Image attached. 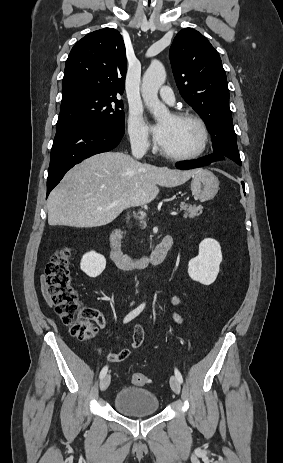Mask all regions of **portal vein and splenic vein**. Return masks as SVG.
Returning a JSON list of instances; mask_svg holds the SVG:
<instances>
[{
  "instance_id": "1",
  "label": "portal vein and splenic vein",
  "mask_w": 283,
  "mask_h": 463,
  "mask_svg": "<svg viewBox=\"0 0 283 463\" xmlns=\"http://www.w3.org/2000/svg\"><path fill=\"white\" fill-rule=\"evenodd\" d=\"M140 214H141L142 216H145V215H146L143 211H140ZM170 214H171V215H177L176 212H171Z\"/></svg>"
}]
</instances>
